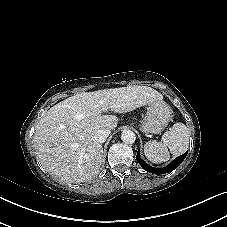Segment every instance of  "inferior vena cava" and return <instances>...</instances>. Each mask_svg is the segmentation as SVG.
<instances>
[{"mask_svg": "<svg viewBox=\"0 0 227 227\" xmlns=\"http://www.w3.org/2000/svg\"><path fill=\"white\" fill-rule=\"evenodd\" d=\"M110 134V130L109 129H99L96 131L95 135H94V139L99 142V143H103L106 141L107 137Z\"/></svg>", "mask_w": 227, "mask_h": 227, "instance_id": "obj_1", "label": "inferior vena cava"}]
</instances>
